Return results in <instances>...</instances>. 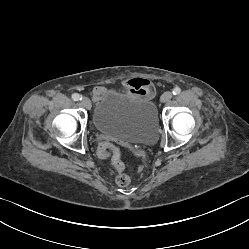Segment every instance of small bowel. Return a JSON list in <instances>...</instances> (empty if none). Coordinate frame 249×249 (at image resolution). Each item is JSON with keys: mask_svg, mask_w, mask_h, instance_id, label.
Segmentation results:
<instances>
[{"mask_svg": "<svg viewBox=\"0 0 249 249\" xmlns=\"http://www.w3.org/2000/svg\"><path fill=\"white\" fill-rule=\"evenodd\" d=\"M120 88L142 99H150L155 93L154 85L147 79L133 78L120 83ZM106 92L104 87H95L93 97L99 99Z\"/></svg>", "mask_w": 249, "mask_h": 249, "instance_id": "obj_1", "label": "small bowel"}]
</instances>
